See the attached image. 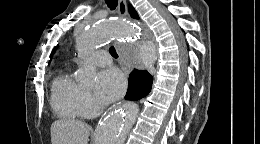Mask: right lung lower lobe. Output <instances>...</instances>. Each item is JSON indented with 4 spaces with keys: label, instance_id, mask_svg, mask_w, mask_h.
<instances>
[{
    "label": "right lung lower lobe",
    "instance_id": "1",
    "mask_svg": "<svg viewBox=\"0 0 260 144\" xmlns=\"http://www.w3.org/2000/svg\"><path fill=\"white\" fill-rule=\"evenodd\" d=\"M152 82L153 77L148 71L134 69L129 76L125 99L138 100L145 97L151 91Z\"/></svg>",
    "mask_w": 260,
    "mask_h": 144
}]
</instances>
